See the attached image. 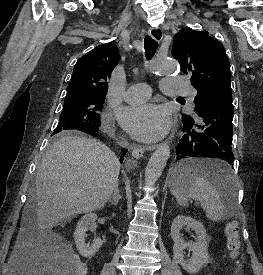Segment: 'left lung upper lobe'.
Returning a JSON list of instances; mask_svg holds the SVG:
<instances>
[{"label":"left lung upper lobe","instance_id":"obj_1","mask_svg":"<svg viewBox=\"0 0 263 275\" xmlns=\"http://www.w3.org/2000/svg\"><path fill=\"white\" fill-rule=\"evenodd\" d=\"M172 56L197 89L195 110L221 93H231L230 64L224 46L207 31L183 28L174 36ZM182 119L191 120L189 115Z\"/></svg>","mask_w":263,"mask_h":275}]
</instances>
